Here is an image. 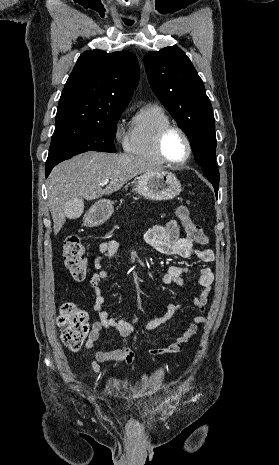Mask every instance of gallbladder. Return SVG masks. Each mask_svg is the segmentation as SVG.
Wrapping results in <instances>:
<instances>
[{
	"label": "gallbladder",
	"instance_id": "gallbladder-1",
	"mask_svg": "<svg viewBox=\"0 0 279 465\" xmlns=\"http://www.w3.org/2000/svg\"><path fill=\"white\" fill-rule=\"evenodd\" d=\"M83 208V201L80 198L71 199L66 205L67 218L74 220L80 217Z\"/></svg>",
	"mask_w": 279,
	"mask_h": 465
}]
</instances>
